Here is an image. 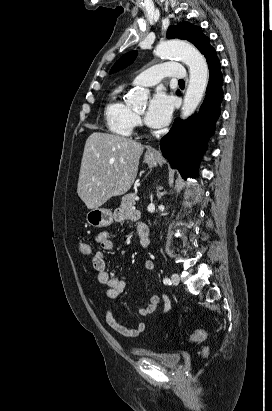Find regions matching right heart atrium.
I'll list each match as a JSON object with an SVG mask.
<instances>
[{"mask_svg": "<svg viewBox=\"0 0 272 411\" xmlns=\"http://www.w3.org/2000/svg\"><path fill=\"white\" fill-rule=\"evenodd\" d=\"M135 122H136V124L139 122V120H138V118H137V117H135Z\"/></svg>", "mask_w": 272, "mask_h": 411, "instance_id": "d8ad5b80", "label": "right heart atrium"}]
</instances>
